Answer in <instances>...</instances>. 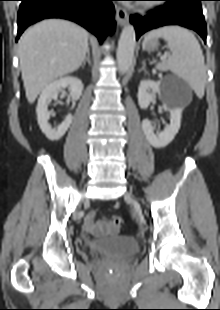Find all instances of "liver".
<instances>
[{
    "label": "liver",
    "instance_id": "1",
    "mask_svg": "<svg viewBox=\"0 0 220 310\" xmlns=\"http://www.w3.org/2000/svg\"><path fill=\"white\" fill-rule=\"evenodd\" d=\"M89 33L61 19L27 29L19 40V59L26 98L33 103L54 80L77 70L89 50Z\"/></svg>",
    "mask_w": 220,
    "mask_h": 310
}]
</instances>
